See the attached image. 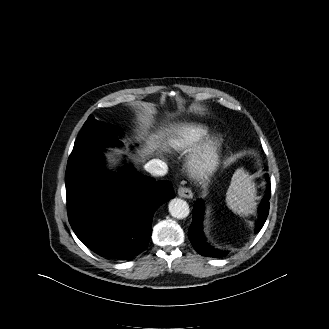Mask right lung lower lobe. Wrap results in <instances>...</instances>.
I'll return each mask as SVG.
<instances>
[{
  "instance_id": "obj_1",
  "label": "right lung lower lobe",
  "mask_w": 329,
  "mask_h": 329,
  "mask_svg": "<svg viewBox=\"0 0 329 329\" xmlns=\"http://www.w3.org/2000/svg\"><path fill=\"white\" fill-rule=\"evenodd\" d=\"M89 152L65 174L69 223L88 248L111 260H129L147 248L156 209L174 197L169 181L131 167L117 178L102 168V151Z\"/></svg>"
}]
</instances>
